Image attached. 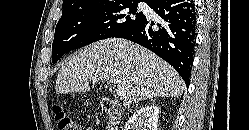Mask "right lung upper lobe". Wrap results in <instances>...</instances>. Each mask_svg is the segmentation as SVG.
<instances>
[{
  "label": "right lung upper lobe",
  "instance_id": "obj_1",
  "mask_svg": "<svg viewBox=\"0 0 249 130\" xmlns=\"http://www.w3.org/2000/svg\"><path fill=\"white\" fill-rule=\"evenodd\" d=\"M110 1L112 0H63V13L80 10L91 5L110 2ZM134 1H140V0H134ZM150 1L151 0H145L146 3H149Z\"/></svg>",
  "mask_w": 249,
  "mask_h": 130
}]
</instances>
